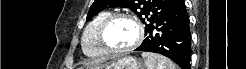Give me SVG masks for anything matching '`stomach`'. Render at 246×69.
I'll return each instance as SVG.
<instances>
[{"label": "stomach", "mask_w": 246, "mask_h": 69, "mask_svg": "<svg viewBox=\"0 0 246 69\" xmlns=\"http://www.w3.org/2000/svg\"><path fill=\"white\" fill-rule=\"evenodd\" d=\"M144 64L134 57H120L107 63H91L78 69H144Z\"/></svg>", "instance_id": "obj_1"}]
</instances>
